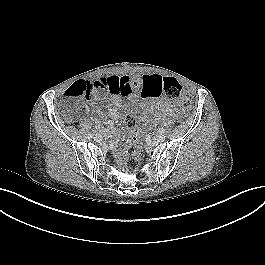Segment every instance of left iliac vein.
Wrapping results in <instances>:
<instances>
[{
  "label": "left iliac vein",
  "mask_w": 265,
  "mask_h": 265,
  "mask_svg": "<svg viewBox=\"0 0 265 265\" xmlns=\"http://www.w3.org/2000/svg\"><path fill=\"white\" fill-rule=\"evenodd\" d=\"M165 138H166V136L164 134L160 133V134L156 135L155 141L163 142L165 140Z\"/></svg>",
  "instance_id": "4c4485c4"
}]
</instances>
